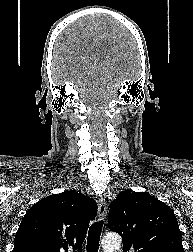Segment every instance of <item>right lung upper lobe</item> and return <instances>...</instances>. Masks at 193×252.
<instances>
[{"instance_id":"obj_1","label":"right lung upper lobe","mask_w":193,"mask_h":252,"mask_svg":"<svg viewBox=\"0 0 193 252\" xmlns=\"http://www.w3.org/2000/svg\"><path fill=\"white\" fill-rule=\"evenodd\" d=\"M96 213L95 200L74 190L47 196L23 217L14 252H75Z\"/></svg>"}]
</instances>
